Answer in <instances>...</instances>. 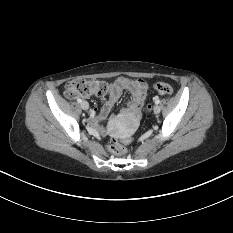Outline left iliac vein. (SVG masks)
<instances>
[{
  "label": "left iliac vein",
  "mask_w": 233,
  "mask_h": 233,
  "mask_svg": "<svg viewBox=\"0 0 233 233\" xmlns=\"http://www.w3.org/2000/svg\"><path fill=\"white\" fill-rule=\"evenodd\" d=\"M153 111L154 114H159L161 111V107L159 105H155Z\"/></svg>",
  "instance_id": "4c4485c4"
}]
</instances>
